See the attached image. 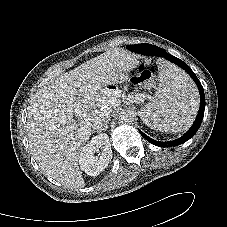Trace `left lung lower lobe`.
Here are the masks:
<instances>
[{
	"label": "left lung lower lobe",
	"instance_id": "0a47b994",
	"mask_svg": "<svg viewBox=\"0 0 227 227\" xmlns=\"http://www.w3.org/2000/svg\"><path fill=\"white\" fill-rule=\"evenodd\" d=\"M127 48L129 50L134 51V52L139 53V54L156 55V56L164 57L165 59H167V60L177 64L181 68H183L192 77V79L195 81L196 85L199 88L201 103H200V109H199V113L196 117V120H195L194 124L192 125V127L189 129V131H187V133H185L182 137H180L176 140L168 141V142H160V141L153 140L152 138L148 137L147 135H145L143 132H141L139 130L141 135L147 141H149L150 143H152L153 145H156V146L172 147V146H177V145H180V144L186 142L191 137H193L194 134L199 129V127L202 123V120H203L204 110H205L204 90H203V87H202L200 81L198 80L197 76L195 75V73L191 70V68L187 64H185L180 59L168 54L167 52H165L164 50H162L161 48H159L157 46L143 43V44L130 45Z\"/></svg>",
	"mask_w": 227,
	"mask_h": 227
}]
</instances>
